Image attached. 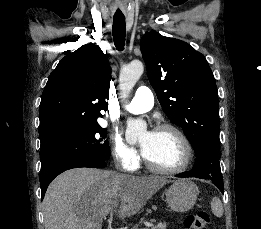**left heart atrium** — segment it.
<instances>
[{
	"label": "left heart atrium",
	"mask_w": 261,
	"mask_h": 229,
	"mask_svg": "<svg viewBox=\"0 0 261 229\" xmlns=\"http://www.w3.org/2000/svg\"><path fill=\"white\" fill-rule=\"evenodd\" d=\"M141 149H142V151H144V146L143 145H141Z\"/></svg>",
	"instance_id": "39dd6f15"
}]
</instances>
